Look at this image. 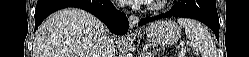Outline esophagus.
<instances>
[{
    "mask_svg": "<svg viewBox=\"0 0 249 57\" xmlns=\"http://www.w3.org/2000/svg\"><path fill=\"white\" fill-rule=\"evenodd\" d=\"M138 22H139V17L138 16L133 15V14H131L129 16V24H130L131 29H134L137 26Z\"/></svg>",
    "mask_w": 249,
    "mask_h": 57,
    "instance_id": "34e87169",
    "label": "esophagus"
}]
</instances>
